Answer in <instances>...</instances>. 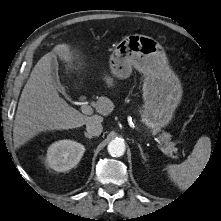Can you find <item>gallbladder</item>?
I'll return each mask as SVG.
<instances>
[{
  "label": "gallbladder",
  "mask_w": 221,
  "mask_h": 221,
  "mask_svg": "<svg viewBox=\"0 0 221 221\" xmlns=\"http://www.w3.org/2000/svg\"><path fill=\"white\" fill-rule=\"evenodd\" d=\"M50 72H51V77L53 79L54 85L56 89L61 92L66 98H69L68 95L65 92L64 86L61 85L59 81V76H58V62L57 59L52 58L50 61Z\"/></svg>",
  "instance_id": "bac80fb5"
}]
</instances>
